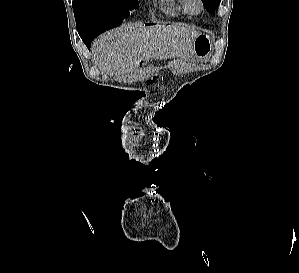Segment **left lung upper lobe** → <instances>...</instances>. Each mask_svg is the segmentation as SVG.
Returning <instances> with one entry per match:
<instances>
[{"label":"left lung upper lobe","mask_w":299,"mask_h":273,"mask_svg":"<svg viewBox=\"0 0 299 273\" xmlns=\"http://www.w3.org/2000/svg\"><path fill=\"white\" fill-rule=\"evenodd\" d=\"M221 0H202L204 7L211 14L215 13V9L219 6Z\"/></svg>","instance_id":"1"}]
</instances>
